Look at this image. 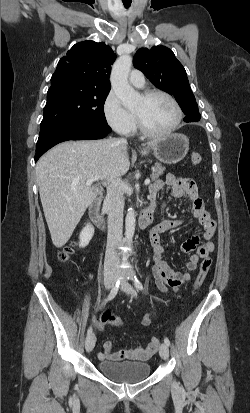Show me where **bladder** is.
Returning a JSON list of instances; mask_svg holds the SVG:
<instances>
[{
    "mask_svg": "<svg viewBox=\"0 0 250 413\" xmlns=\"http://www.w3.org/2000/svg\"><path fill=\"white\" fill-rule=\"evenodd\" d=\"M100 372L118 383H136L146 379L150 374V365L139 361H100Z\"/></svg>",
    "mask_w": 250,
    "mask_h": 413,
    "instance_id": "obj_1",
    "label": "bladder"
}]
</instances>
